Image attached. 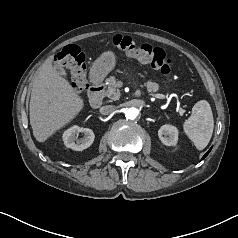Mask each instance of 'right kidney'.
Returning a JSON list of instances; mask_svg holds the SVG:
<instances>
[{
	"label": "right kidney",
	"mask_w": 238,
	"mask_h": 238,
	"mask_svg": "<svg viewBox=\"0 0 238 238\" xmlns=\"http://www.w3.org/2000/svg\"><path fill=\"white\" fill-rule=\"evenodd\" d=\"M83 133L84 137L77 139L76 135ZM94 132L89 128H80L76 125L67 129L62 136L63 142L67 148L75 151H82L90 147L94 141Z\"/></svg>",
	"instance_id": "1"
}]
</instances>
